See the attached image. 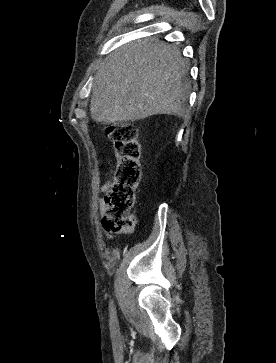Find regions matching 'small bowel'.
<instances>
[{"instance_id":"obj_1","label":"small bowel","mask_w":276,"mask_h":363,"mask_svg":"<svg viewBox=\"0 0 276 363\" xmlns=\"http://www.w3.org/2000/svg\"><path fill=\"white\" fill-rule=\"evenodd\" d=\"M111 186V182L110 181H106L105 183H103L102 185H100L98 187V192L99 193H103L105 191H107L109 189V187ZM98 205H99V208H100V213L102 214L103 211H104V202L101 198L98 199L97 201ZM105 237L108 239V240H113V239H116V236L110 234V233H105Z\"/></svg>"}]
</instances>
